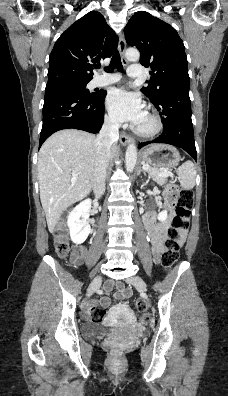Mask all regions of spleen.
<instances>
[{"instance_id":"3e777b00","label":"spleen","mask_w":228,"mask_h":396,"mask_svg":"<svg viewBox=\"0 0 228 396\" xmlns=\"http://www.w3.org/2000/svg\"><path fill=\"white\" fill-rule=\"evenodd\" d=\"M177 174L180 185L183 189L190 190L195 186L196 170L194 164L191 161L183 163L177 169Z\"/></svg>"}]
</instances>
